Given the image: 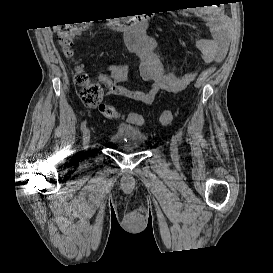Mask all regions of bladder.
Returning <instances> with one entry per match:
<instances>
[{"instance_id":"bladder-1","label":"bladder","mask_w":273,"mask_h":273,"mask_svg":"<svg viewBox=\"0 0 273 273\" xmlns=\"http://www.w3.org/2000/svg\"><path fill=\"white\" fill-rule=\"evenodd\" d=\"M109 142L121 151L130 152L143 147L147 136L133 125L120 124L109 136Z\"/></svg>"}]
</instances>
